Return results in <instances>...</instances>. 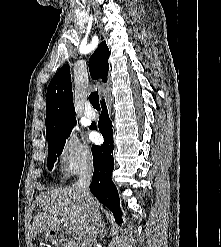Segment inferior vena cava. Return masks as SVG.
I'll return each instance as SVG.
<instances>
[{"label": "inferior vena cava", "instance_id": "1", "mask_svg": "<svg viewBox=\"0 0 221 247\" xmlns=\"http://www.w3.org/2000/svg\"><path fill=\"white\" fill-rule=\"evenodd\" d=\"M93 175L92 166H85L79 173V179L76 183V187L79 190L85 206L90 214V224L86 229V234L81 242V247H92L95 243V239L99 230L100 214L95 207V202L91 196L89 185Z\"/></svg>", "mask_w": 221, "mask_h": 247}]
</instances>
